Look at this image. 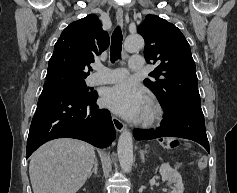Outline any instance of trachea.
<instances>
[{
    "instance_id": "3493384b",
    "label": "trachea",
    "mask_w": 237,
    "mask_h": 193,
    "mask_svg": "<svg viewBox=\"0 0 237 193\" xmlns=\"http://www.w3.org/2000/svg\"><path fill=\"white\" fill-rule=\"evenodd\" d=\"M122 31L120 27H117L113 34H112V39H111V62H114L120 58L121 55V50H122Z\"/></svg>"
}]
</instances>
